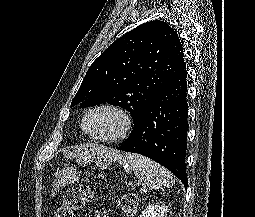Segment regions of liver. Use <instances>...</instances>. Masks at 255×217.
I'll use <instances>...</instances> for the list:
<instances>
[{"label":"liver","instance_id":"1","mask_svg":"<svg viewBox=\"0 0 255 217\" xmlns=\"http://www.w3.org/2000/svg\"><path fill=\"white\" fill-rule=\"evenodd\" d=\"M115 154L113 150L100 147L95 144L82 145L70 150L69 148L63 151L65 158H76L79 161H86L88 159L105 158L110 159Z\"/></svg>","mask_w":255,"mask_h":217}]
</instances>
